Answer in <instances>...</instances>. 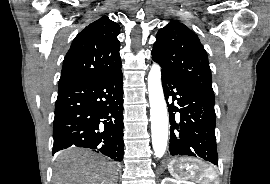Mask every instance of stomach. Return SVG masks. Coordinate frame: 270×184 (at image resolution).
Wrapping results in <instances>:
<instances>
[{
	"mask_svg": "<svg viewBox=\"0 0 270 184\" xmlns=\"http://www.w3.org/2000/svg\"><path fill=\"white\" fill-rule=\"evenodd\" d=\"M168 170L173 176H181L186 170L184 159L171 161L168 165Z\"/></svg>",
	"mask_w": 270,
	"mask_h": 184,
	"instance_id": "obj_1",
	"label": "stomach"
}]
</instances>
